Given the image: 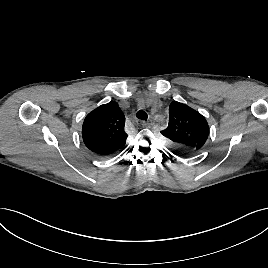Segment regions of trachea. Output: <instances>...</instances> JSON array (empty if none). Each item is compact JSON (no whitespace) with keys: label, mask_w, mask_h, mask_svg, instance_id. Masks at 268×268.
<instances>
[{"label":"trachea","mask_w":268,"mask_h":268,"mask_svg":"<svg viewBox=\"0 0 268 268\" xmlns=\"http://www.w3.org/2000/svg\"><path fill=\"white\" fill-rule=\"evenodd\" d=\"M136 117L140 120H147L148 115L144 110H139L136 114Z\"/></svg>","instance_id":"obj_1"}]
</instances>
